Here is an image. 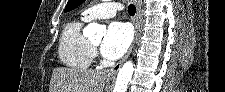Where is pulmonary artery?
<instances>
[{"instance_id": "obj_1", "label": "pulmonary artery", "mask_w": 225, "mask_h": 92, "mask_svg": "<svg viewBox=\"0 0 225 92\" xmlns=\"http://www.w3.org/2000/svg\"><path fill=\"white\" fill-rule=\"evenodd\" d=\"M119 9L117 2H101L84 10L83 18L87 21L93 19L110 18L116 15Z\"/></svg>"}]
</instances>
